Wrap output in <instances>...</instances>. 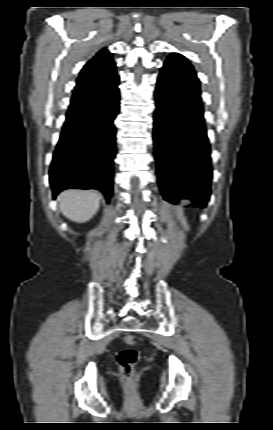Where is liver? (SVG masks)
Returning <instances> with one entry per match:
<instances>
[{
	"instance_id": "1",
	"label": "liver",
	"mask_w": 273,
	"mask_h": 430,
	"mask_svg": "<svg viewBox=\"0 0 273 430\" xmlns=\"http://www.w3.org/2000/svg\"><path fill=\"white\" fill-rule=\"evenodd\" d=\"M100 195L94 191L66 190L58 196L60 210L68 219L84 223L99 209Z\"/></svg>"
}]
</instances>
